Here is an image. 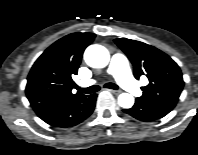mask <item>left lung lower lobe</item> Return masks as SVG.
I'll return each mask as SVG.
<instances>
[{"label":"left lung lower lobe","instance_id":"obj_1","mask_svg":"<svg viewBox=\"0 0 198 155\" xmlns=\"http://www.w3.org/2000/svg\"><path fill=\"white\" fill-rule=\"evenodd\" d=\"M174 107L172 103H149L137 98L134 106L124 112L142 121H154L164 117Z\"/></svg>","mask_w":198,"mask_h":155}]
</instances>
